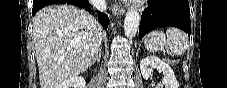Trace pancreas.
<instances>
[{
	"instance_id": "pancreas-1",
	"label": "pancreas",
	"mask_w": 227,
	"mask_h": 88,
	"mask_svg": "<svg viewBox=\"0 0 227 88\" xmlns=\"http://www.w3.org/2000/svg\"><path fill=\"white\" fill-rule=\"evenodd\" d=\"M171 64H173V61H169Z\"/></svg>"
}]
</instances>
